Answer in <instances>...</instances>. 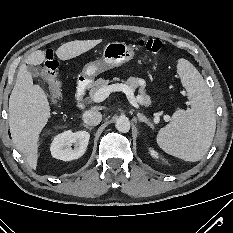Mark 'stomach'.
<instances>
[{
  "label": "stomach",
  "mask_w": 233,
  "mask_h": 233,
  "mask_svg": "<svg viewBox=\"0 0 233 233\" xmlns=\"http://www.w3.org/2000/svg\"><path fill=\"white\" fill-rule=\"evenodd\" d=\"M134 56L132 46L124 42H109L103 48L101 59L89 62L83 67L81 77L91 81L99 74L132 60Z\"/></svg>",
  "instance_id": "0dacf381"
}]
</instances>
